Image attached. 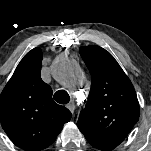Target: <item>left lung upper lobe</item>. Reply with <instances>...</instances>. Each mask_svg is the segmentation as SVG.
I'll use <instances>...</instances> for the list:
<instances>
[{"instance_id": "5c2ea615", "label": "left lung upper lobe", "mask_w": 151, "mask_h": 151, "mask_svg": "<svg viewBox=\"0 0 151 151\" xmlns=\"http://www.w3.org/2000/svg\"><path fill=\"white\" fill-rule=\"evenodd\" d=\"M92 84L88 102L79 115L77 126L86 139L106 138L121 141L140 115L134 87L114 57L99 46L79 49Z\"/></svg>"}]
</instances>
